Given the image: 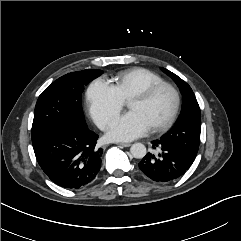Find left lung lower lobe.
Listing matches in <instances>:
<instances>
[{
	"mask_svg": "<svg viewBox=\"0 0 241 241\" xmlns=\"http://www.w3.org/2000/svg\"><path fill=\"white\" fill-rule=\"evenodd\" d=\"M155 153L148 152L139 163L141 171L156 182H168L183 176L194 159L173 143L152 141Z\"/></svg>",
	"mask_w": 241,
	"mask_h": 241,
	"instance_id": "1",
	"label": "left lung lower lobe"
}]
</instances>
